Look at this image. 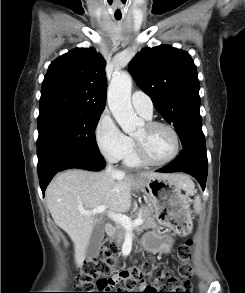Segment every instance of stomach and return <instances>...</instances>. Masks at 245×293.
<instances>
[{"mask_svg": "<svg viewBox=\"0 0 245 293\" xmlns=\"http://www.w3.org/2000/svg\"><path fill=\"white\" fill-rule=\"evenodd\" d=\"M182 189L171 178H151L143 184L158 223L175 231H182L185 223L191 224L189 200L182 194ZM142 246L148 252H159L163 249V238L155 231L148 232L142 238Z\"/></svg>", "mask_w": 245, "mask_h": 293, "instance_id": "1", "label": "stomach"}]
</instances>
